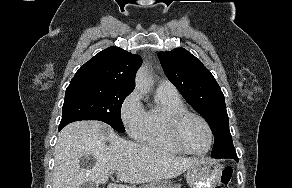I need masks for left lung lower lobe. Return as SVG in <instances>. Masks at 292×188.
Listing matches in <instances>:
<instances>
[{
	"label": "left lung lower lobe",
	"mask_w": 292,
	"mask_h": 188,
	"mask_svg": "<svg viewBox=\"0 0 292 188\" xmlns=\"http://www.w3.org/2000/svg\"><path fill=\"white\" fill-rule=\"evenodd\" d=\"M223 158H232L238 162V157L236 152L228 153L226 155H223Z\"/></svg>",
	"instance_id": "obj_1"
}]
</instances>
